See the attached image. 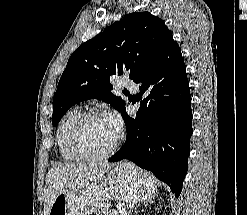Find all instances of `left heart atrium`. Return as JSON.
Here are the masks:
<instances>
[{
  "label": "left heart atrium",
  "instance_id": "obj_1",
  "mask_svg": "<svg viewBox=\"0 0 247 215\" xmlns=\"http://www.w3.org/2000/svg\"><path fill=\"white\" fill-rule=\"evenodd\" d=\"M104 119L118 136L122 130V121L120 117L114 113H110Z\"/></svg>",
  "mask_w": 247,
  "mask_h": 215
}]
</instances>
